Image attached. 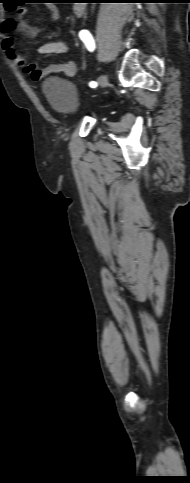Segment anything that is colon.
Returning a JSON list of instances; mask_svg holds the SVG:
<instances>
[{"label":"colon","mask_w":190,"mask_h":483,"mask_svg":"<svg viewBox=\"0 0 190 483\" xmlns=\"http://www.w3.org/2000/svg\"><path fill=\"white\" fill-rule=\"evenodd\" d=\"M18 3H19L18 1H8L7 2V4L9 6H11L10 9H15L19 5Z\"/></svg>","instance_id":"1"}]
</instances>
